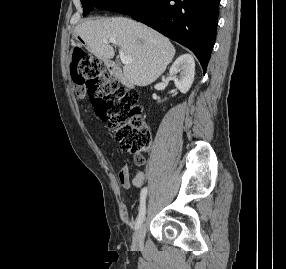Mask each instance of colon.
<instances>
[{"mask_svg": "<svg viewBox=\"0 0 286 269\" xmlns=\"http://www.w3.org/2000/svg\"><path fill=\"white\" fill-rule=\"evenodd\" d=\"M70 57V71L78 92L82 87L87 89L96 115L108 123L121 148L134 155L135 163L142 164L151 134L137 108V94L114 82L103 62L80 45L71 47Z\"/></svg>", "mask_w": 286, "mask_h": 269, "instance_id": "colon-1", "label": "colon"}]
</instances>
